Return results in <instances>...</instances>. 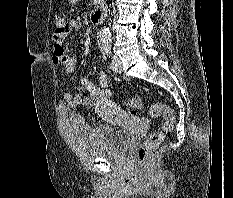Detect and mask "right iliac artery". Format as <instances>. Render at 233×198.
I'll list each match as a JSON object with an SVG mask.
<instances>
[{"instance_id": "right-iliac-artery-1", "label": "right iliac artery", "mask_w": 233, "mask_h": 198, "mask_svg": "<svg viewBox=\"0 0 233 198\" xmlns=\"http://www.w3.org/2000/svg\"><path fill=\"white\" fill-rule=\"evenodd\" d=\"M104 50H105L106 54H107L108 56H110V54H111V45L108 44V43H105V45H104Z\"/></svg>"}]
</instances>
